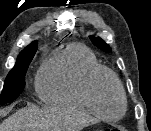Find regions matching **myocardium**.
<instances>
[{"label":"myocardium","instance_id":"f54148a6","mask_svg":"<svg viewBox=\"0 0 151 131\" xmlns=\"http://www.w3.org/2000/svg\"><path fill=\"white\" fill-rule=\"evenodd\" d=\"M102 76H106L110 78L120 94L121 101H122V108L117 116H108L104 114L96 104L95 95H94L95 84L97 80ZM83 94L92 112L102 119L118 120L121 117H123L127 111V105H128L127 95L121 81L119 80V78L114 72H112L110 69L104 66L101 65L96 66L88 72L83 84Z\"/></svg>","mask_w":151,"mask_h":131}]
</instances>
